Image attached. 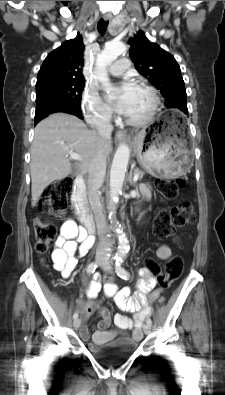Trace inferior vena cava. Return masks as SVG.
I'll use <instances>...</instances> for the list:
<instances>
[{
    "label": "inferior vena cava",
    "instance_id": "inferior-vena-cava-1",
    "mask_svg": "<svg viewBox=\"0 0 225 395\" xmlns=\"http://www.w3.org/2000/svg\"><path fill=\"white\" fill-rule=\"evenodd\" d=\"M110 116L97 117L95 121L98 135L101 138L109 139L113 131ZM106 173V157L102 150H99L93 159L91 160L88 168V198L94 214L98 234H99V246L98 254H106L111 247V241L105 237L106 230V218L103 213V207L100 201L101 194L99 189L101 188Z\"/></svg>",
    "mask_w": 225,
    "mask_h": 395
}]
</instances>
